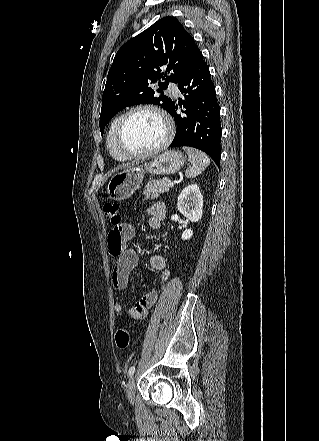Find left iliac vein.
<instances>
[{"instance_id":"1","label":"left iliac vein","mask_w":319,"mask_h":441,"mask_svg":"<svg viewBox=\"0 0 319 441\" xmlns=\"http://www.w3.org/2000/svg\"><path fill=\"white\" fill-rule=\"evenodd\" d=\"M126 394L129 402L133 404L135 399V377L130 378L126 386Z\"/></svg>"}]
</instances>
